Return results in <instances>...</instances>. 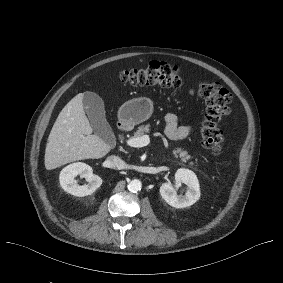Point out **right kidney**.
<instances>
[{
    "label": "right kidney",
    "mask_w": 283,
    "mask_h": 283,
    "mask_svg": "<svg viewBox=\"0 0 283 283\" xmlns=\"http://www.w3.org/2000/svg\"><path fill=\"white\" fill-rule=\"evenodd\" d=\"M80 175L81 178H85L87 184L79 185L75 180V177ZM59 182L61 187L68 193L77 196L84 197L91 195L102 184V179L93 174L92 168L82 162L70 164L62 169Z\"/></svg>",
    "instance_id": "1"
}]
</instances>
